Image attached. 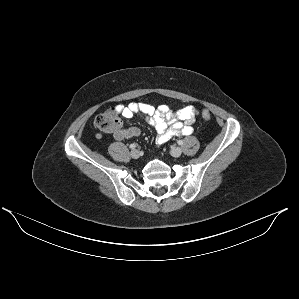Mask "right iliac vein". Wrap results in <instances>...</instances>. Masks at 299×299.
<instances>
[{
  "mask_svg": "<svg viewBox=\"0 0 299 299\" xmlns=\"http://www.w3.org/2000/svg\"><path fill=\"white\" fill-rule=\"evenodd\" d=\"M130 156H131L133 159H137V158H139V156H140V152H139L137 149H133V150L130 152Z\"/></svg>",
  "mask_w": 299,
  "mask_h": 299,
  "instance_id": "right-iliac-vein-1",
  "label": "right iliac vein"
}]
</instances>
